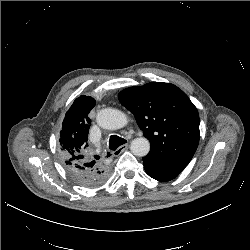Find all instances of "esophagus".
<instances>
[{
  "label": "esophagus",
  "instance_id": "obj_1",
  "mask_svg": "<svg viewBox=\"0 0 250 250\" xmlns=\"http://www.w3.org/2000/svg\"><path fill=\"white\" fill-rule=\"evenodd\" d=\"M127 148H128V144L121 145V146L115 151V154L118 155V154L122 153L124 150H126Z\"/></svg>",
  "mask_w": 250,
  "mask_h": 250
}]
</instances>
